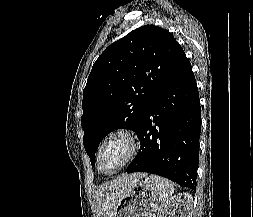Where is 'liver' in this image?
<instances>
[{"label":"liver","mask_w":253,"mask_h":217,"mask_svg":"<svg viewBox=\"0 0 253 217\" xmlns=\"http://www.w3.org/2000/svg\"><path fill=\"white\" fill-rule=\"evenodd\" d=\"M142 173L122 174L100 186L94 195L96 217H114L118 201L135 185Z\"/></svg>","instance_id":"liver-1"}]
</instances>
